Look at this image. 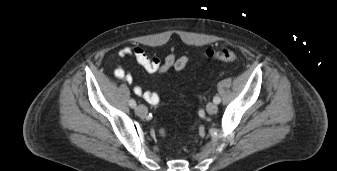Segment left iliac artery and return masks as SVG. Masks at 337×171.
Here are the masks:
<instances>
[{
	"instance_id": "obj_1",
	"label": "left iliac artery",
	"mask_w": 337,
	"mask_h": 171,
	"mask_svg": "<svg viewBox=\"0 0 337 171\" xmlns=\"http://www.w3.org/2000/svg\"><path fill=\"white\" fill-rule=\"evenodd\" d=\"M213 102H214L215 104H219V103L221 102L220 97L215 96V97L213 98Z\"/></svg>"
}]
</instances>
